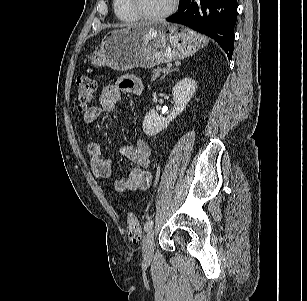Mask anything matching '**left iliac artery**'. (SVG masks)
Listing matches in <instances>:
<instances>
[{"instance_id": "left-iliac-artery-1", "label": "left iliac artery", "mask_w": 307, "mask_h": 301, "mask_svg": "<svg viewBox=\"0 0 307 301\" xmlns=\"http://www.w3.org/2000/svg\"><path fill=\"white\" fill-rule=\"evenodd\" d=\"M153 226V220H148L144 225V230L148 232L150 229H152Z\"/></svg>"}]
</instances>
